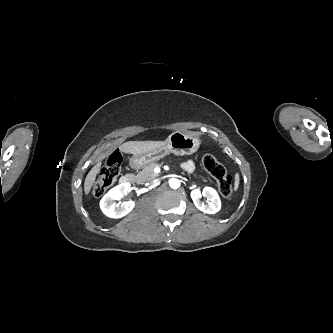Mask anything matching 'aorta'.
Returning a JSON list of instances; mask_svg holds the SVG:
<instances>
[{
  "label": "aorta",
  "mask_w": 333,
  "mask_h": 333,
  "mask_svg": "<svg viewBox=\"0 0 333 333\" xmlns=\"http://www.w3.org/2000/svg\"><path fill=\"white\" fill-rule=\"evenodd\" d=\"M181 185V182L179 179L177 178H172L169 180V186L172 188V189H178Z\"/></svg>",
  "instance_id": "1"
}]
</instances>
